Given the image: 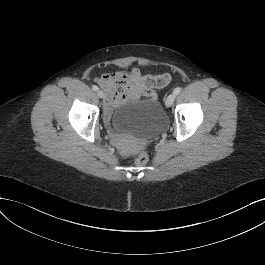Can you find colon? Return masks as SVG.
I'll return each instance as SVG.
<instances>
[{
    "instance_id": "obj_1",
    "label": "colon",
    "mask_w": 265,
    "mask_h": 265,
    "mask_svg": "<svg viewBox=\"0 0 265 265\" xmlns=\"http://www.w3.org/2000/svg\"><path fill=\"white\" fill-rule=\"evenodd\" d=\"M149 160V156L146 152H142L138 155V157L135 160V164L139 167L144 166L145 164H147Z\"/></svg>"
}]
</instances>
